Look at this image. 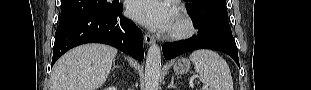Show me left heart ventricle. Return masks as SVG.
<instances>
[{"label":"left heart ventricle","instance_id":"left-heart-ventricle-1","mask_svg":"<svg viewBox=\"0 0 311 90\" xmlns=\"http://www.w3.org/2000/svg\"><path fill=\"white\" fill-rule=\"evenodd\" d=\"M175 26H176V19L174 18L173 23H172V25H171V28H173V27H175Z\"/></svg>","mask_w":311,"mask_h":90}]
</instances>
